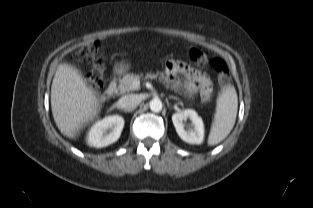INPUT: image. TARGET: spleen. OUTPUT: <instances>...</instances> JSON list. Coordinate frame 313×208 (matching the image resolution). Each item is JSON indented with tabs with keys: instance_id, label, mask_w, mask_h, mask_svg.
I'll return each mask as SVG.
<instances>
[{
	"instance_id": "1",
	"label": "spleen",
	"mask_w": 313,
	"mask_h": 208,
	"mask_svg": "<svg viewBox=\"0 0 313 208\" xmlns=\"http://www.w3.org/2000/svg\"><path fill=\"white\" fill-rule=\"evenodd\" d=\"M237 109V93L234 87H229L218 97L215 121L208 137L209 145H216L229 135L235 124Z\"/></svg>"
}]
</instances>
